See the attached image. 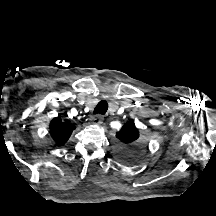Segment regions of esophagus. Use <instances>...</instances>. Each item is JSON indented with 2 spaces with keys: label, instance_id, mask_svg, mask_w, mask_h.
I'll return each mask as SVG.
<instances>
[{
  "label": "esophagus",
  "instance_id": "34e87169",
  "mask_svg": "<svg viewBox=\"0 0 216 216\" xmlns=\"http://www.w3.org/2000/svg\"><path fill=\"white\" fill-rule=\"evenodd\" d=\"M103 120H104V116H102V115H97V116L92 117V118L90 119V122H91L92 124L99 125V124H101V123L103 122Z\"/></svg>",
  "mask_w": 216,
  "mask_h": 216
}]
</instances>
